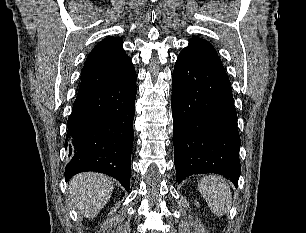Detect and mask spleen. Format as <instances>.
<instances>
[{"instance_id": "1", "label": "spleen", "mask_w": 306, "mask_h": 233, "mask_svg": "<svg viewBox=\"0 0 306 233\" xmlns=\"http://www.w3.org/2000/svg\"><path fill=\"white\" fill-rule=\"evenodd\" d=\"M198 190L215 215L222 216L231 207V190L221 176H204L198 183Z\"/></svg>"}]
</instances>
